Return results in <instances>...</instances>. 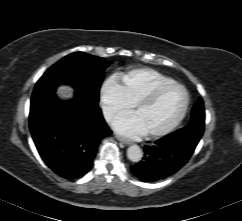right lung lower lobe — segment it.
<instances>
[{"mask_svg": "<svg viewBox=\"0 0 242 221\" xmlns=\"http://www.w3.org/2000/svg\"><path fill=\"white\" fill-rule=\"evenodd\" d=\"M29 126L42 159L67 179L90 170L99 142L111 133L101 109L79 93L68 102L54 93L31 101Z\"/></svg>", "mask_w": 242, "mask_h": 221, "instance_id": "right-lung-lower-lobe-1", "label": "right lung lower lobe"}]
</instances>
